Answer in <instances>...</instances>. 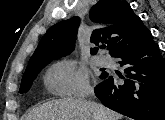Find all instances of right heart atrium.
<instances>
[{"label": "right heart atrium", "mask_w": 165, "mask_h": 120, "mask_svg": "<svg viewBox=\"0 0 165 120\" xmlns=\"http://www.w3.org/2000/svg\"><path fill=\"white\" fill-rule=\"evenodd\" d=\"M45 83L55 94L86 96L90 92L87 72L73 60L54 64L45 76Z\"/></svg>", "instance_id": "obj_1"}]
</instances>
